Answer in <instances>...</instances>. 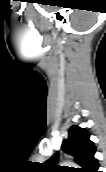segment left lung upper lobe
I'll use <instances>...</instances> for the list:
<instances>
[{"label": "left lung upper lobe", "mask_w": 106, "mask_h": 172, "mask_svg": "<svg viewBox=\"0 0 106 172\" xmlns=\"http://www.w3.org/2000/svg\"><path fill=\"white\" fill-rule=\"evenodd\" d=\"M61 149L65 153L73 155L76 163L82 168L74 169L56 165L58 162V155L55 154L44 163L49 171L98 172L99 163L94 157L96 148L94 143L90 140L89 132L85 128L75 125L70 127L68 140L63 141Z\"/></svg>", "instance_id": "obj_1"}]
</instances>
